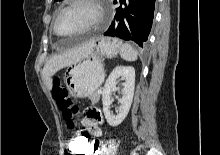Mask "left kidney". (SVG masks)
I'll use <instances>...</instances> for the list:
<instances>
[{
	"label": "left kidney",
	"instance_id": "left-kidney-1",
	"mask_svg": "<svg viewBox=\"0 0 220 155\" xmlns=\"http://www.w3.org/2000/svg\"><path fill=\"white\" fill-rule=\"evenodd\" d=\"M125 80L123 83L122 97L118 100L120 107L117 110V114H113L110 111L112 104L111 94L116 92L119 88L116 87V81L118 78ZM135 88V69L132 66H117L109 75L102 91V103L103 112L105 118L110 126H118L128 115L130 110Z\"/></svg>",
	"mask_w": 220,
	"mask_h": 155
}]
</instances>
